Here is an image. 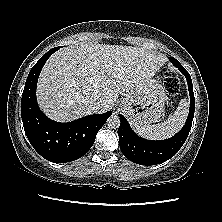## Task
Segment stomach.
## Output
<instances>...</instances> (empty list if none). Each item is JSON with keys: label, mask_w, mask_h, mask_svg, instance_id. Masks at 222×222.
<instances>
[{"label": "stomach", "mask_w": 222, "mask_h": 222, "mask_svg": "<svg viewBox=\"0 0 222 222\" xmlns=\"http://www.w3.org/2000/svg\"><path fill=\"white\" fill-rule=\"evenodd\" d=\"M166 95L158 79H150L142 92L122 100L123 110L134 126L157 122L165 109Z\"/></svg>", "instance_id": "obj_1"}]
</instances>
